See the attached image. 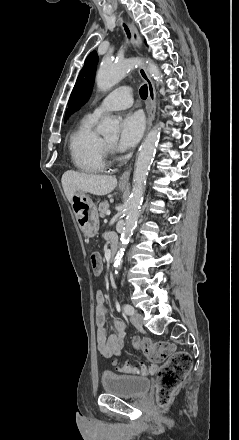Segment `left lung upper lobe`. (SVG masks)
Masks as SVG:
<instances>
[{
  "label": "left lung upper lobe",
  "instance_id": "obj_1",
  "mask_svg": "<svg viewBox=\"0 0 239 440\" xmlns=\"http://www.w3.org/2000/svg\"><path fill=\"white\" fill-rule=\"evenodd\" d=\"M98 62V55L96 51L91 52L85 60L84 67L82 68L77 78L76 84L72 90L66 116L79 109L89 98L93 83L94 75Z\"/></svg>",
  "mask_w": 239,
  "mask_h": 440
}]
</instances>
